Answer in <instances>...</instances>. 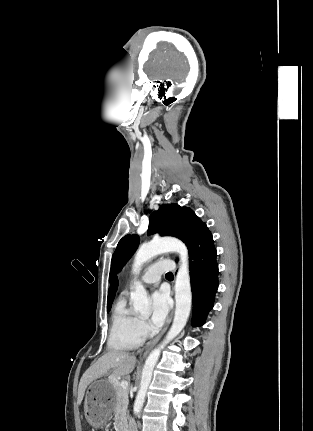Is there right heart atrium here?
Listing matches in <instances>:
<instances>
[{
	"instance_id": "obj_1",
	"label": "right heart atrium",
	"mask_w": 313,
	"mask_h": 431,
	"mask_svg": "<svg viewBox=\"0 0 313 431\" xmlns=\"http://www.w3.org/2000/svg\"><path fill=\"white\" fill-rule=\"evenodd\" d=\"M137 330H138L139 334L143 337H145L149 332V328H148L147 323L141 318L138 319Z\"/></svg>"
}]
</instances>
